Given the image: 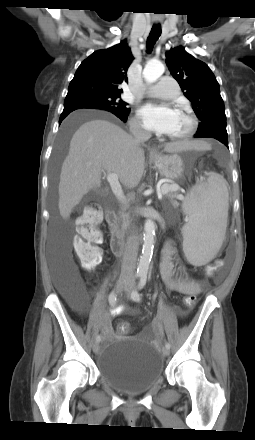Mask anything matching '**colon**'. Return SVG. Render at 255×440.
I'll use <instances>...</instances> for the list:
<instances>
[{
    "instance_id": "1",
    "label": "colon",
    "mask_w": 255,
    "mask_h": 440,
    "mask_svg": "<svg viewBox=\"0 0 255 440\" xmlns=\"http://www.w3.org/2000/svg\"><path fill=\"white\" fill-rule=\"evenodd\" d=\"M101 219L100 211L93 206L88 207L77 219L74 249L82 266L87 269H92L101 262L102 250L98 246L103 242V234L98 227ZM195 301V295H188L185 298V304L188 306L193 305ZM120 329L126 332L129 325L124 323Z\"/></svg>"
}]
</instances>
